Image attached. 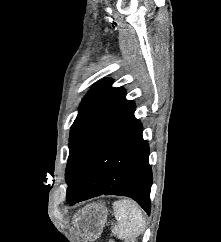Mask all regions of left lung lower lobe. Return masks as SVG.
<instances>
[{
	"instance_id": "obj_1",
	"label": "left lung lower lobe",
	"mask_w": 221,
	"mask_h": 242,
	"mask_svg": "<svg viewBox=\"0 0 221 242\" xmlns=\"http://www.w3.org/2000/svg\"><path fill=\"white\" fill-rule=\"evenodd\" d=\"M134 110L89 151L68 184L66 200L70 205L102 194L123 195L136 200L150 214L153 178L149 146Z\"/></svg>"
}]
</instances>
